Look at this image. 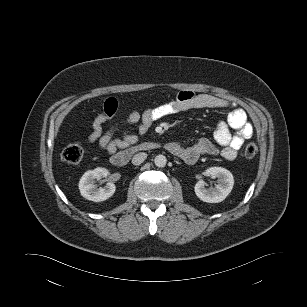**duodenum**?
<instances>
[{"mask_svg":"<svg viewBox=\"0 0 307 307\" xmlns=\"http://www.w3.org/2000/svg\"><path fill=\"white\" fill-rule=\"evenodd\" d=\"M158 147L159 145L155 142H141L111 156L110 163L115 167H124L128 164L134 154L154 150Z\"/></svg>","mask_w":307,"mask_h":307,"instance_id":"410a0bca","label":"duodenum"}]
</instances>
